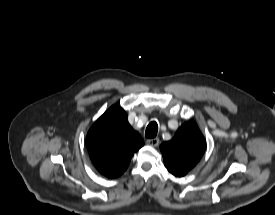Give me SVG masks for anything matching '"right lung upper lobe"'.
Listing matches in <instances>:
<instances>
[{
  "label": "right lung upper lobe",
  "instance_id": "right-lung-upper-lobe-1",
  "mask_svg": "<svg viewBox=\"0 0 275 215\" xmlns=\"http://www.w3.org/2000/svg\"><path fill=\"white\" fill-rule=\"evenodd\" d=\"M86 145L96 169L102 175L114 178L127 169L134 152L144 142L128 123L125 111L114 105L90 128Z\"/></svg>",
  "mask_w": 275,
  "mask_h": 215
}]
</instances>
